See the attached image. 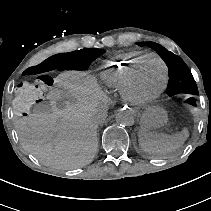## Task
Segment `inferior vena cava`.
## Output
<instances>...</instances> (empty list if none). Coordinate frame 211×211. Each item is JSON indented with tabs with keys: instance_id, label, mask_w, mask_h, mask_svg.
Masks as SVG:
<instances>
[{
	"instance_id": "inferior-vena-cava-1",
	"label": "inferior vena cava",
	"mask_w": 211,
	"mask_h": 211,
	"mask_svg": "<svg viewBox=\"0 0 211 211\" xmlns=\"http://www.w3.org/2000/svg\"><path fill=\"white\" fill-rule=\"evenodd\" d=\"M106 116V109L102 108L100 109V118H104Z\"/></svg>"
}]
</instances>
